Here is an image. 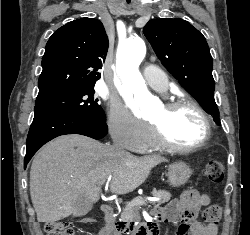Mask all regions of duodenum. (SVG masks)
Returning <instances> with one entry per match:
<instances>
[{"label":"duodenum","mask_w":250,"mask_h":235,"mask_svg":"<svg viewBox=\"0 0 250 235\" xmlns=\"http://www.w3.org/2000/svg\"><path fill=\"white\" fill-rule=\"evenodd\" d=\"M101 211L104 216V226L99 235H156L157 220L148 222L144 227L133 229L131 226L123 228L124 224L116 220L113 210L108 205H101Z\"/></svg>","instance_id":"obj_1"}]
</instances>
